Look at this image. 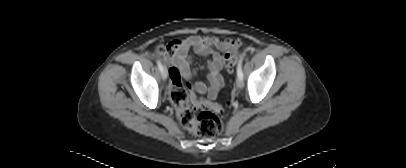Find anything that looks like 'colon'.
Wrapping results in <instances>:
<instances>
[{
  "label": "colon",
  "instance_id": "1",
  "mask_svg": "<svg viewBox=\"0 0 406 168\" xmlns=\"http://www.w3.org/2000/svg\"><path fill=\"white\" fill-rule=\"evenodd\" d=\"M167 47L160 49V55L165 56ZM241 59L239 54L228 53L223 57V67L227 73L234 70ZM173 84L170 89V98L176 107V115L180 124L194 132L203 139H212L223 131V123L217 116L222 107L206 99L197 98L182 85L177 71L171 70Z\"/></svg>",
  "mask_w": 406,
  "mask_h": 168
}]
</instances>
